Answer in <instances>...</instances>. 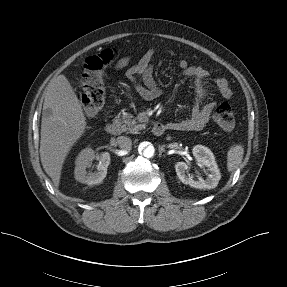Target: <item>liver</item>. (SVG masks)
<instances>
[{
    "mask_svg": "<svg viewBox=\"0 0 287 287\" xmlns=\"http://www.w3.org/2000/svg\"><path fill=\"white\" fill-rule=\"evenodd\" d=\"M86 117L70 82L61 74L50 80L41 121V163L58 187L63 163L86 129Z\"/></svg>",
    "mask_w": 287,
    "mask_h": 287,
    "instance_id": "obj_1",
    "label": "liver"
}]
</instances>
